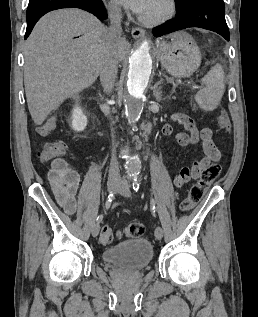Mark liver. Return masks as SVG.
<instances>
[{
	"mask_svg": "<svg viewBox=\"0 0 258 317\" xmlns=\"http://www.w3.org/2000/svg\"><path fill=\"white\" fill-rule=\"evenodd\" d=\"M106 34L94 14L79 8L52 10L38 20L24 46L25 92L35 124H42L65 98L93 84ZM128 46L126 38L118 40V58L126 56Z\"/></svg>",
	"mask_w": 258,
	"mask_h": 317,
	"instance_id": "obj_1",
	"label": "liver"
}]
</instances>
